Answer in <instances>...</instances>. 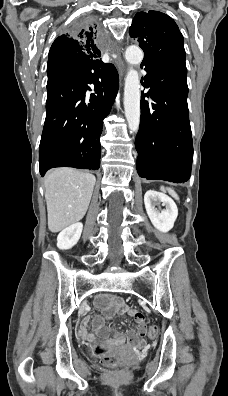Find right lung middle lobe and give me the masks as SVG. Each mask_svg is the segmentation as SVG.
<instances>
[{"label": "right lung middle lobe", "instance_id": "right-lung-middle-lobe-1", "mask_svg": "<svg viewBox=\"0 0 228 396\" xmlns=\"http://www.w3.org/2000/svg\"><path fill=\"white\" fill-rule=\"evenodd\" d=\"M88 21L86 19L79 20L76 24L75 27L78 29H81L82 27L86 28L88 27ZM65 73V70H52V71H47L48 74V82H47V87L52 85L56 80H58L63 74Z\"/></svg>", "mask_w": 228, "mask_h": 396}]
</instances>
